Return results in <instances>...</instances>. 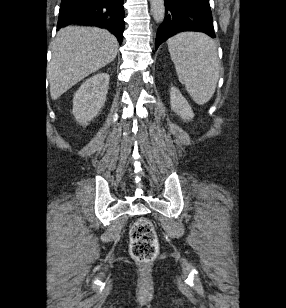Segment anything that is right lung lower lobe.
<instances>
[{"mask_svg":"<svg viewBox=\"0 0 286 308\" xmlns=\"http://www.w3.org/2000/svg\"><path fill=\"white\" fill-rule=\"evenodd\" d=\"M123 0H62L57 29L68 25H91L110 30L122 43Z\"/></svg>","mask_w":286,"mask_h":308,"instance_id":"right-lung-lower-lobe-1","label":"right lung lower lobe"}]
</instances>
